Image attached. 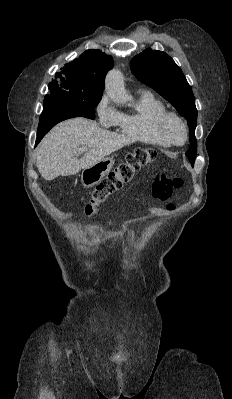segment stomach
<instances>
[{
    "label": "stomach",
    "instance_id": "obj_1",
    "mask_svg": "<svg viewBox=\"0 0 232 399\" xmlns=\"http://www.w3.org/2000/svg\"><path fill=\"white\" fill-rule=\"evenodd\" d=\"M114 162L115 160H113V158H103V160L97 162L95 166L83 170L81 182L84 188H92V186L98 184V182H100V180H102V178L112 170Z\"/></svg>",
    "mask_w": 232,
    "mask_h": 399
}]
</instances>
